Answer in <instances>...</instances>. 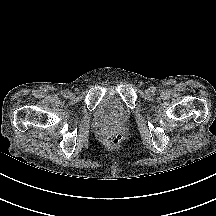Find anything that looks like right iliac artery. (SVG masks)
I'll return each mask as SVG.
<instances>
[{
  "label": "right iliac artery",
  "mask_w": 216,
  "mask_h": 216,
  "mask_svg": "<svg viewBox=\"0 0 216 216\" xmlns=\"http://www.w3.org/2000/svg\"><path fill=\"white\" fill-rule=\"evenodd\" d=\"M64 97H66V98L69 97V92H65Z\"/></svg>",
  "instance_id": "1"
}]
</instances>
